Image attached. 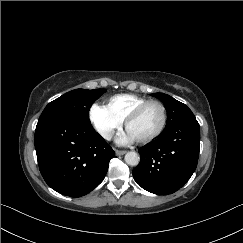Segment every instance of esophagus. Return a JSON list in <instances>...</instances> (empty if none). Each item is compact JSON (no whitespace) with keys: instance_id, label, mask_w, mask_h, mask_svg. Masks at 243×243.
<instances>
[{"instance_id":"1","label":"esophagus","mask_w":243,"mask_h":243,"mask_svg":"<svg viewBox=\"0 0 243 243\" xmlns=\"http://www.w3.org/2000/svg\"><path fill=\"white\" fill-rule=\"evenodd\" d=\"M126 153V151H124V150H115V154L117 155V156H121V155H124Z\"/></svg>"}]
</instances>
